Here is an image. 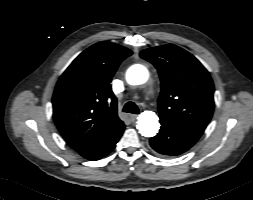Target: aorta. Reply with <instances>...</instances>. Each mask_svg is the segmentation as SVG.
Wrapping results in <instances>:
<instances>
[{
	"instance_id": "1",
	"label": "aorta",
	"mask_w": 253,
	"mask_h": 200,
	"mask_svg": "<svg viewBox=\"0 0 253 200\" xmlns=\"http://www.w3.org/2000/svg\"><path fill=\"white\" fill-rule=\"evenodd\" d=\"M147 69L140 64L131 66L126 74V80L131 85H141L148 80ZM154 112L145 111L141 113L137 121V129L139 133L144 137H153L158 133L159 121Z\"/></svg>"
}]
</instances>
